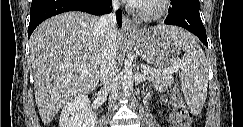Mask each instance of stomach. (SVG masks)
<instances>
[{
    "mask_svg": "<svg viewBox=\"0 0 243 127\" xmlns=\"http://www.w3.org/2000/svg\"><path fill=\"white\" fill-rule=\"evenodd\" d=\"M131 39L138 54L159 69L170 68L179 59L180 47L165 26L142 30Z\"/></svg>",
    "mask_w": 243,
    "mask_h": 127,
    "instance_id": "0dacf381",
    "label": "stomach"
}]
</instances>
